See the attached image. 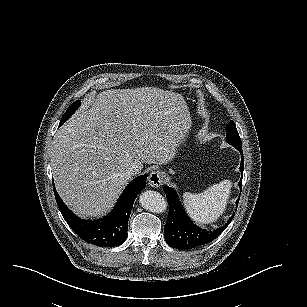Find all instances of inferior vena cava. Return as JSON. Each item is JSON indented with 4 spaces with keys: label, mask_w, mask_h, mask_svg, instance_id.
Wrapping results in <instances>:
<instances>
[{
    "label": "inferior vena cava",
    "mask_w": 307,
    "mask_h": 307,
    "mask_svg": "<svg viewBox=\"0 0 307 307\" xmlns=\"http://www.w3.org/2000/svg\"><path fill=\"white\" fill-rule=\"evenodd\" d=\"M138 174H139V171H138L137 168H130V169H128V170L126 171V176H127L128 178H131V177H133V176H135V175H138Z\"/></svg>",
    "instance_id": "inferior-vena-cava-1"
}]
</instances>
